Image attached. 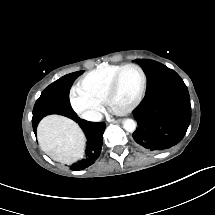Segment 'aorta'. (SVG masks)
Here are the masks:
<instances>
[{"label":"aorta","mask_w":215,"mask_h":215,"mask_svg":"<svg viewBox=\"0 0 215 215\" xmlns=\"http://www.w3.org/2000/svg\"><path fill=\"white\" fill-rule=\"evenodd\" d=\"M123 128H124L126 131L132 133V132H134L135 129H136V122H135L134 120H132V119H125V120L123 121Z\"/></svg>","instance_id":"762f6f07"}]
</instances>
